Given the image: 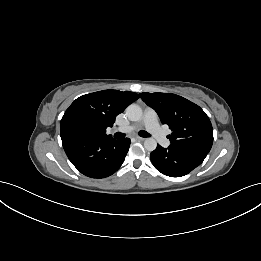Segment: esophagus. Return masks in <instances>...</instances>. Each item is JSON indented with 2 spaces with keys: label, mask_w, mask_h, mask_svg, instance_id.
Instances as JSON below:
<instances>
[{
  "label": "esophagus",
  "mask_w": 261,
  "mask_h": 261,
  "mask_svg": "<svg viewBox=\"0 0 261 261\" xmlns=\"http://www.w3.org/2000/svg\"><path fill=\"white\" fill-rule=\"evenodd\" d=\"M135 139H136L137 141H144V140H145V139L142 138V137H135Z\"/></svg>",
  "instance_id": "esophagus-1"
}]
</instances>
